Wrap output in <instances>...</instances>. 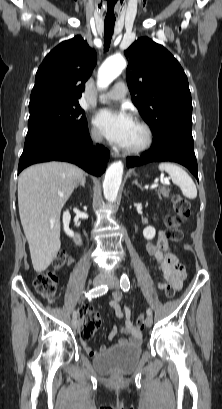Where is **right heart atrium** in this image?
<instances>
[{
  "label": "right heart atrium",
  "mask_w": 222,
  "mask_h": 409,
  "mask_svg": "<svg viewBox=\"0 0 222 409\" xmlns=\"http://www.w3.org/2000/svg\"><path fill=\"white\" fill-rule=\"evenodd\" d=\"M90 137L94 143L101 144L102 143V136L95 128L90 130Z\"/></svg>",
  "instance_id": "obj_1"
}]
</instances>
